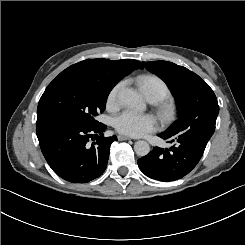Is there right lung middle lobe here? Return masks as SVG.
Wrapping results in <instances>:
<instances>
[{"label": "right lung middle lobe", "instance_id": "obj_1", "mask_svg": "<svg viewBox=\"0 0 245 245\" xmlns=\"http://www.w3.org/2000/svg\"><path fill=\"white\" fill-rule=\"evenodd\" d=\"M116 85L106 78L79 70L62 71L46 88L37 108L36 126L52 123L93 125L105 110Z\"/></svg>", "mask_w": 245, "mask_h": 245}]
</instances>
